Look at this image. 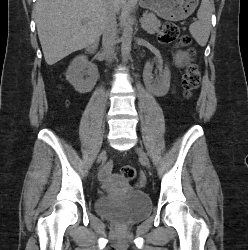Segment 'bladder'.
Instances as JSON below:
<instances>
[{"instance_id": "obj_1", "label": "bladder", "mask_w": 248, "mask_h": 250, "mask_svg": "<svg viewBox=\"0 0 248 250\" xmlns=\"http://www.w3.org/2000/svg\"><path fill=\"white\" fill-rule=\"evenodd\" d=\"M151 208L150 198L140 191H129L123 197L103 195L95 203L98 215L124 224L144 219L150 214Z\"/></svg>"}]
</instances>
